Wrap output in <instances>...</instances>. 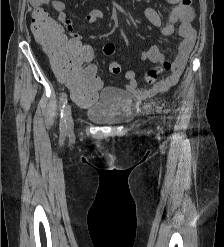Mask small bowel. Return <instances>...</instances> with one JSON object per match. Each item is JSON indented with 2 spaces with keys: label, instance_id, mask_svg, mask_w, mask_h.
<instances>
[{
  "label": "small bowel",
  "instance_id": "c3829d8e",
  "mask_svg": "<svg viewBox=\"0 0 224 247\" xmlns=\"http://www.w3.org/2000/svg\"><path fill=\"white\" fill-rule=\"evenodd\" d=\"M172 5L170 11L167 14L166 22L163 23L160 15L150 7L145 8L144 16L155 27L159 28L164 36H171L176 31L178 25V34L183 38L180 46L177 58L171 65L169 74L158 80L157 82L143 88H139L136 82V74L133 70H128L125 73V88L128 93L138 99L152 97L157 94H161L169 90L174 86L188 59V56L194 46L196 40V31L192 27L191 23L194 19V10L190 3L191 0H165ZM31 4L36 8H42L44 6H50L58 15V21L66 28L70 39L80 42L82 35L78 34L72 22L66 17V7L62 1L59 0H30ZM106 15L97 9L91 10L86 15V21L88 23H94L100 18H105ZM138 55L142 60H148L154 63L162 64L165 61V57L161 50L155 46L150 45L144 49H137Z\"/></svg>",
  "mask_w": 224,
  "mask_h": 247
}]
</instances>
